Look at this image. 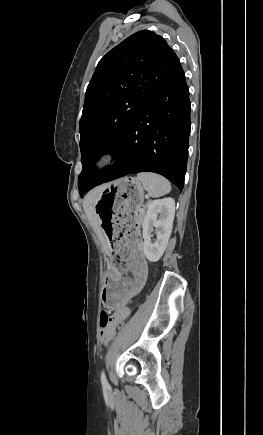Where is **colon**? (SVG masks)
<instances>
[{"mask_svg": "<svg viewBox=\"0 0 263 435\" xmlns=\"http://www.w3.org/2000/svg\"><path fill=\"white\" fill-rule=\"evenodd\" d=\"M106 321H113V318L110 316L108 311L102 310L100 313V327H101L100 334H101V339L103 342H109L114 335V333H110V330H106L104 328V323ZM124 325H125L124 321L116 323L115 329H124Z\"/></svg>", "mask_w": 263, "mask_h": 435, "instance_id": "5ec220e1", "label": "colon"}]
</instances>
